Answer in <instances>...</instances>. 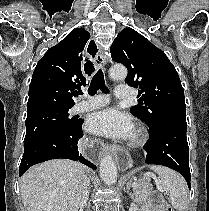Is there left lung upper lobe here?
<instances>
[{
  "mask_svg": "<svg viewBox=\"0 0 209 211\" xmlns=\"http://www.w3.org/2000/svg\"><path fill=\"white\" fill-rule=\"evenodd\" d=\"M111 57L127 67L125 82L139 89V104L130 112L148 125L150 133L169 120L186 119L180 78L162 50L132 28H125L113 41Z\"/></svg>",
  "mask_w": 209,
  "mask_h": 211,
  "instance_id": "left-lung-upper-lobe-1",
  "label": "left lung upper lobe"
}]
</instances>
